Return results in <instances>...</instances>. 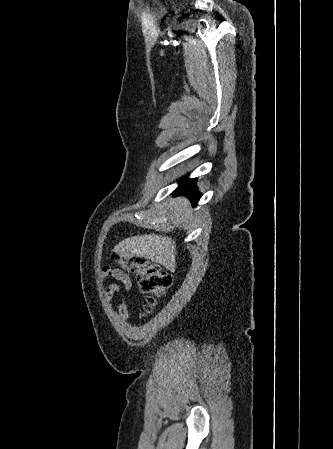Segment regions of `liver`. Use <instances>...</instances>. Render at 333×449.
Listing matches in <instances>:
<instances>
[{"mask_svg":"<svg viewBox=\"0 0 333 449\" xmlns=\"http://www.w3.org/2000/svg\"><path fill=\"white\" fill-rule=\"evenodd\" d=\"M189 211H191L189 200L182 197V199L175 204L174 212L176 216L179 217L187 215V212ZM175 248V240H172L171 237L145 234L124 239L115 246L114 251L116 253L122 252L130 255L142 256L162 264L169 269H174Z\"/></svg>","mask_w":333,"mask_h":449,"instance_id":"obj_1","label":"liver"}]
</instances>
